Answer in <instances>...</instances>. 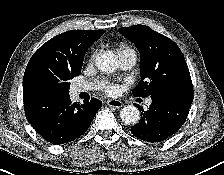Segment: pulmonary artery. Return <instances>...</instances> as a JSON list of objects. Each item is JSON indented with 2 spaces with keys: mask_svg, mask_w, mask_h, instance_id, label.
<instances>
[{
  "mask_svg": "<svg viewBox=\"0 0 224 175\" xmlns=\"http://www.w3.org/2000/svg\"><path fill=\"white\" fill-rule=\"evenodd\" d=\"M118 58L120 62V67L123 70H129L133 68L137 61V55L136 52L132 49H124L118 52ZM92 89L91 85L87 84H77L73 87V92L75 94L85 92ZM151 103V100H147V104L149 105Z\"/></svg>",
  "mask_w": 224,
  "mask_h": 175,
  "instance_id": "obj_1",
  "label": "pulmonary artery"
}]
</instances>
